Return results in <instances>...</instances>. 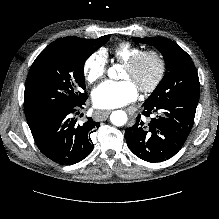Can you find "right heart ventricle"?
<instances>
[{"label": "right heart ventricle", "mask_w": 219, "mask_h": 219, "mask_svg": "<svg viewBox=\"0 0 219 219\" xmlns=\"http://www.w3.org/2000/svg\"><path fill=\"white\" fill-rule=\"evenodd\" d=\"M143 49L139 46H136L130 42L123 41L118 43L113 48V56L114 58L120 62L125 63L129 60H131L134 56H136L138 53H140Z\"/></svg>", "instance_id": "e07e8e85"}]
</instances>
